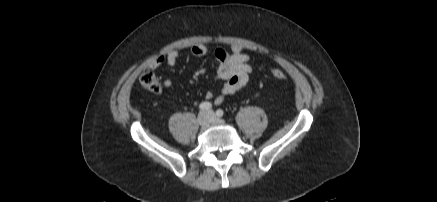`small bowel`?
I'll use <instances>...</instances> for the list:
<instances>
[{
	"label": "small bowel",
	"mask_w": 437,
	"mask_h": 202,
	"mask_svg": "<svg viewBox=\"0 0 437 202\" xmlns=\"http://www.w3.org/2000/svg\"><path fill=\"white\" fill-rule=\"evenodd\" d=\"M207 48L204 44H197L191 48V54L194 57H202L206 54ZM214 56L218 62L216 80L223 81L220 94L214 99L216 105L221 104L225 97L232 95L244 88L252 72L250 57L243 52L241 45H232L230 51L224 48H218L214 51ZM179 53L177 50L169 51L165 56H159L150 64L152 68H158L164 64L173 67L178 61ZM172 85L171 80L164 81L165 87ZM206 99L214 98L212 91H207Z\"/></svg>",
	"instance_id": "obj_1"
}]
</instances>
